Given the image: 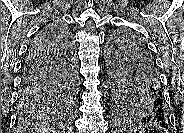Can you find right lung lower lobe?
Listing matches in <instances>:
<instances>
[{
    "label": "right lung lower lobe",
    "mask_w": 184,
    "mask_h": 133,
    "mask_svg": "<svg viewBox=\"0 0 184 133\" xmlns=\"http://www.w3.org/2000/svg\"><path fill=\"white\" fill-rule=\"evenodd\" d=\"M48 24L34 38L22 68L19 103L38 104L52 99L65 74L67 39ZM74 55V52H73Z\"/></svg>",
    "instance_id": "obj_1"
}]
</instances>
